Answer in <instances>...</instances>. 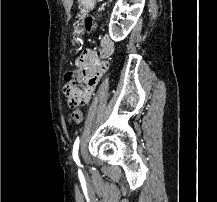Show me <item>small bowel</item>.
Segmentation results:
<instances>
[{
    "instance_id": "c3829d8e",
    "label": "small bowel",
    "mask_w": 217,
    "mask_h": 202,
    "mask_svg": "<svg viewBox=\"0 0 217 202\" xmlns=\"http://www.w3.org/2000/svg\"><path fill=\"white\" fill-rule=\"evenodd\" d=\"M114 48L115 46L113 41L108 36H105L101 40L100 47L96 52L91 54L90 52L85 51L77 58V66L84 68L87 73V77L85 78L88 81V86L83 91L82 95H92L94 93L100 76L108 67V64L106 62H102L100 59L109 58L113 54Z\"/></svg>"
}]
</instances>
